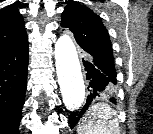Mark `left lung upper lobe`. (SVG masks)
I'll list each match as a JSON object with an SVG mask.
<instances>
[{
  "instance_id": "left-lung-upper-lobe-1",
  "label": "left lung upper lobe",
  "mask_w": 153,
  "mask_h": 134,
  "mask_svg": "<svg viewBox=\"0 0 153 134\" xmlns=\"http://www.w3.org/2000/svg\"><path fill=\"white\" fill-rule=\"evenodd\" d=\"M61 26L69 28L79 46L89 54L114 68L113 51L109 34L101 18L88 7L70 2L62 13ZM117 80V79H116ZM114 82L109 92L114 93Z\"/></svg>"
}]
</instances>
